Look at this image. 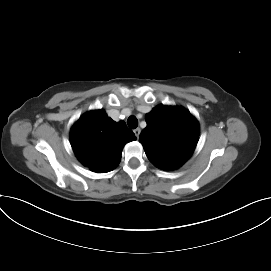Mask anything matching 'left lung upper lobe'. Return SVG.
<instances>
[{
	"label": "left lung upper lobe",
	"instance_id": "left-lung-upper-lobe-1",
	"mask_svg": "<svg viewBox=\"0 0 271 271\" xmlns=\"http://www.w3.org/2000/svg\"><path fill=\"white\" fill-rule=\"evenodd\" d=\"M146 122L139 141L156 167L174 170L190 158L198 141L199 125L188 111L158 105L146 115Z\"/></svg>",
	"mask_w": 271,
	"mask_h": 271
}]
</instances>
